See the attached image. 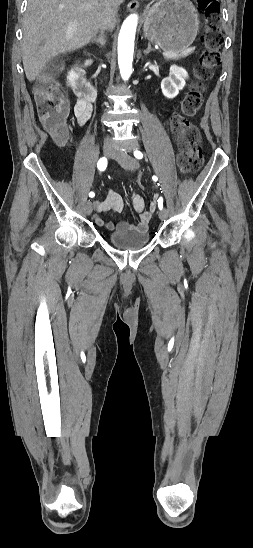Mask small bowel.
I'll return each mask as SVG.
<instances>
[{"mask_svg": "<svg viewBox=\"0 0 253 548\" xmlns=\"http://www.w3.org/2000/svg\"><path fill=\"white\" fill-rule=\"evenodd\" d=\"M74 112L78 122L83 125L85 124L91 116L92 113V104L86 100L78 98L77 103L74 108ZM157 197H154L151 208L149 210L145 209L144 199L138 194H132L130 196V203L133 209L139 214V221L137 224H130L128 222L122 221L117 224L106 223L101 217L96 215L94 217L95 222L99 226H105L108 229L116 230L120 232L130 231V232H143L148 228V224L152 219ZM95 210L99 213L113 211L120 213L125 208V199L114 189H109L108 193L104 200L96 201Z\"/></svg>", "mask_w": 253, "mask_h": 548, "instance_id": "obj_1", "label": "small bowel"}]
</instances>
